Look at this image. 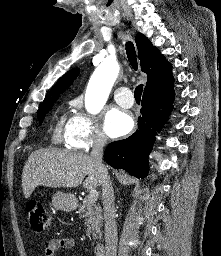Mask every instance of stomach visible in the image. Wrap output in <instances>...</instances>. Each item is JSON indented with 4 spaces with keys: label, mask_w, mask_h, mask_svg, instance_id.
I'll return each instance as SVG.
<instances>
[{
    "label": "stomach",
    "mask_w": 221,
    "mask_h": 256,
    "mask_svg": "<svg viewBox=\"0 0 221 256\" xmlns=\"http://www.w3.org/2000/svg\"><path fill=\"white\" fill-rule=\"evenodd\" d=\"M52 205L57 210L70 212L76 208L77 201L73 194L58 191L52 197Z\"/></svg>",
    "instance_id": "obj_1"
}]
</instances>
